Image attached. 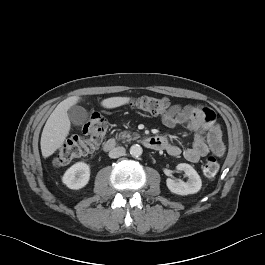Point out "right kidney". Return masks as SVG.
I'll list each match as a JSON object with an SVG mask.
<instances>
[{"instance_id":"obj_1","label":"right kidney","mask_w":265,"mask_h":265,"mask_svg":"<svg viewBox=\"0 0 265 265\" xmlns=\"http://www.w3.org/2000/svg\"><path fill=\"white\" fill-rule=\"evenodd\" d=\"M90 179V167L84 162H77L66 170L62 177L63 183L70 189H81Z\"/></svg>"}]
</instances>
